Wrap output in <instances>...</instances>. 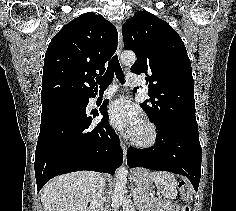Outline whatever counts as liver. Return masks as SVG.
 <instances>
[{"label":"liver","mask_w":236,"mask_h":211,"mask_svg":"<svg viewBox=\"0 0 236 211\" xmlns=\"http://www.w3.org/2000/svg\"><path fill=\"white\" fill-rule=\"evenodd\" d=\"M98 175L79 171L50 180L41 190L44 211H86Z\"/></svg>","instance_id":"6515ba94"}]
</instances>
